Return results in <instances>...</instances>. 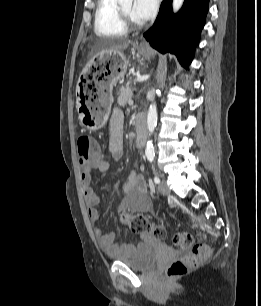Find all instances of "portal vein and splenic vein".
<instances>
[{
	"label": "portal vein and splenic vein",
	"mask_w": 261,
	"mask_h": 306,
	"mask_svg": "<svg viewBox=\"0 0 261 306\" xmlns=\"http://www.w3.org/2000/svg\"><path fill=\"white\" fill-rule=\"evenodd\" d=\"M129 104H133V101H132V100H130V101H129Z\"/></svg>",
	"instance_id": "1"
}]
</instances>
